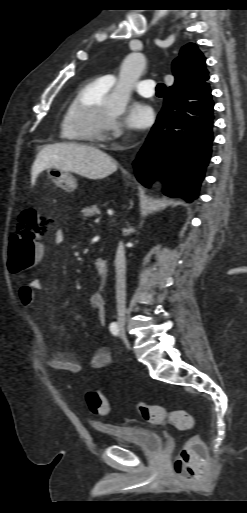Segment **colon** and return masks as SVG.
Here are the masks:
<instances>
[{
	"mask_svg": "<svg viewBox=\"0 0 247 513\" xmlns=\"http://www.w3.org/2000/svg\"><path fill=\"white\" fill-rule=\"evenodd\" d=\"M43 235L44 221L34 209L24 210L9 244V268L12 273L28 270L41 257ZM85 400L93 414L99 416L108 414L109 404L100 391H88ZM135 409L144 421L151 424L169 422L180 430H192L195 426L194 417L185 410L171 411L159 405L140 401L135 402ZM205 455V446L201 439L196 435L190 437L174 460L175 475L185 479L196 477L202 470Z\"/></svg>",
	"mask_w": 247,
	"mask_h": 513,
	"instance_id": "5ec220e1",
	"label": "colon"
}]
</instances>
